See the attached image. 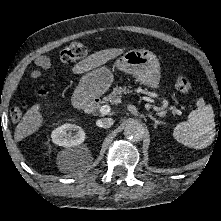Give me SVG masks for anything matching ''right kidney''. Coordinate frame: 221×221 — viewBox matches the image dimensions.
<instances>
[{
    "mask_svg": "<svg viewBox=\"0 0 221 221\" xmlns=\"http://www.w3.org/2000/svg\"><path fill=\"white\" fill-rule=\"evenodd\" d=\"M51 138L54 144L70 148L82 144L85 140V133L80 126L67 123L54 129Z\"/></svg>",
    "mask_w": 221,
    "mask_h": 221,
    "instance_id": "1",
    "label": "right kidney"
}]
</instances>
